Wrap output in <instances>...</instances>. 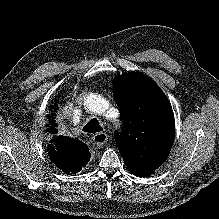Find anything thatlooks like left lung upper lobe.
I'll return each mask as SVG.
<instances>
[{
    "mask_svg": "<svg viewBox=\"0 0 219 219\" xmlns=\"http://www.w3.org/2000/svg\"><path fill=\"white\" fill-rule=\"evenodd\" d=\"M115 102L124 130L115 142L130 171L156 170L174 141L175 121L168 98L148 76L132 72L113 81Z\"/></svg>",
    "mask_w": 219,
    "mask_h": 219,
    "instance_id": "5c2ea615",
    "label": "left lung upper lobe"
}]
</instances>
